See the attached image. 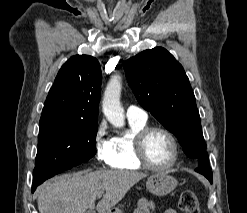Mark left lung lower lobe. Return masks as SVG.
<instances>
[{
    "label": "left lung lower lobe",
    "mask_w": 247,
    "mask_h": 213,
    "mask_svg": "<svg viewBox=\"0 0 247 213\" xmlns=\"http://www.w3.org/2000/svg\"><path fill=\"white\" fill-rule=\"evenodd\" d=\"M208 156L207 152L205 151L203 154L200 155L199 159V167L196 169V172L203 174L209 181L212 183V172L211 168L208 163Z\"/></svg>",
    "instance_id": "1"
}]
</instances>
